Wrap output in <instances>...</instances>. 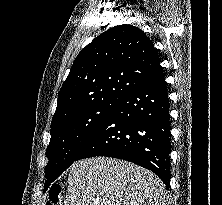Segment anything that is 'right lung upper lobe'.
Masks as SVG:
<instances>
[{
    "label": "right lung upper lobe",
    "mask_w": 222,
    "mask_h": 205,
    "mask_svg": "<svg viewBox=\"0 0 222 205\" xmlns=\"http://www.w3.org/2000/svg\"><path fill=\"white\" fill-rule=\"evenodd\" d=\"M162 72L154 44L141 29L126 24L110 28L75 59L51 124L91 105L121 101Z\"/></svg>",
    "instance_id": "1"
}]
</instances>
